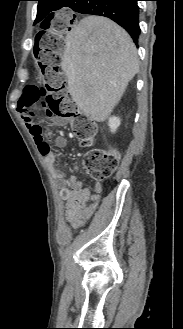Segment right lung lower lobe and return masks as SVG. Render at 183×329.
<instances>
[{
    "label": "right lung lower lobe",
    "instance_id": "right-lung-lower-lobe-1",
    "mask_svg": "<svg viewBox=\"0 0 183 329\" xmlns=\"http://www.w3.org/2000/svg\"><path fill=\"white\" fill-rule=\"evenodd\" d=\"M138 0H71V9L82 14L108 17L123 27L138 43L140 35Z\"/></svg>",
    "mask_w": 183,
    "mask_h": 329
}]
</instances>
